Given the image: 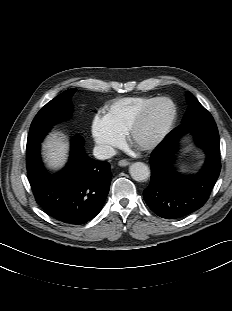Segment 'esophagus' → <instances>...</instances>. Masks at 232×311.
Wrapping results in <instances>:
<instances>
[{
  "instance_id": "1",
  "label": "esophagus",
  "mask_w": 232,
  "mask_h": 311,
  "mask_svg": "<svg viewBox=\"0 0 232 311\" xmlns=\"http://www.w3.org/2000/svg\"><path fill=\"white\" fill-rule=\"evenodd\" d=\"M129 164H130V162H128L127 160H120L118 162V165L122 166V167L128 166Z\"/></svg>"
}]
</instances>
